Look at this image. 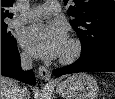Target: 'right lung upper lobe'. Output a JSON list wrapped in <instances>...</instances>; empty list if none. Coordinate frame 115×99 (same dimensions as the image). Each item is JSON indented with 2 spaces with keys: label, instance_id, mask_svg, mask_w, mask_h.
Masks as SVG:
<instances>
[{
  "label": "right lung upper lobe",
  "instance_id": "right-lung-upper-lobe-1",
  "mask_svg": "<svg viewBox=\"0 0 115 99\" xmlns=\"http://www.w3.org/2000/svg\"><path fill=\"white\" fill-rule=\"evenodd\" d=\"M14 0H1V22H4V18H12L13 14L9 13L8 8L13 6Z\"/></svg>",
  "mask_w": 115,
  "mask_h": 99
}]
</instances>
